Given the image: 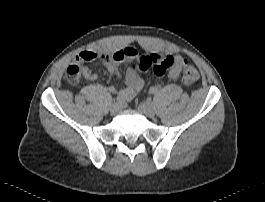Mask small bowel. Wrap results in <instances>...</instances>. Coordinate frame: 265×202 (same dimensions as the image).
I'll return each mask as SVG.
<instances>
[{
	"label": "small bowel",
	"instance_id": "obj_1",
	"mask_svg": "<svg viewBox=\"0 0 265 202\" xmlns=\"http://www.w3.org/2000/svg\"><path fill=\"white\" fill-rule=\"evenodd\" d=\"M126 50L135 52L133 48H128ZM132 58L133 57H124L123 59L117 60L113 58V55L83 50L75 56L74 62L83 65L85 63L99 61L107 68L110 75H114L118 79L122 78L120 66L123 65L127 67L125 73L126 87L119 91V96L123 99V101H129L133 99L144 86V80L131 68H129ZM173 59L174 65L170 69L168 77L171 80H176L181 72L182 62L185 59L179 54L174 55ZM84 77L89 81H94L98 78V75L90 68L84 67ZM107 90L111 93H116L117 88L115 85H110L107 87Z\"/></svg>",
	"mask_w": 265,
	"mask_h": 202
}]
</instances>
